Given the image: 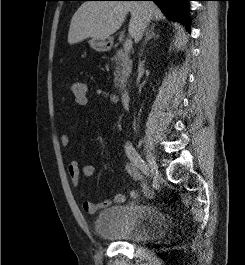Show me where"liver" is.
I'll list each match as a JSON object with an SVG mask.
<instances>
[{
    "label": "liver",
    "mask_w": 245,
    "mask_h": 265,
    "mask_svg": "<svg viewBox=\"0 0 245 265\" xmlns=\"http://www.w3.org/2000/svg\"><path fill=\"white\" fill-rule=\"evenodd\" d=\"M131 13L128 32L135 42L141 39L145 14L156 21L164 19L153 2L86 1L75 12L68 32V43L76 44L91 37L107 39L122 26Z\"/></svg>",
    "instance_id": "obj_1"
}]
</instances>
